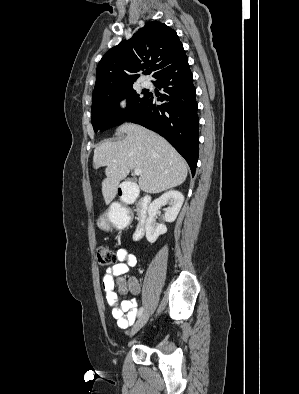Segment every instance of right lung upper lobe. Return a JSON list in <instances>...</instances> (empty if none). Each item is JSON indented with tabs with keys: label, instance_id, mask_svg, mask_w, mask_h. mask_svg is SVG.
I'll use <instances>...</instances> for the list:
<instances>
[{
	"label": "right lung upper lobe",
	"instance_id": "obj_1",
	"mask_svg": "<svg viewBox=\"0 0 299 394\" xmlns=\"http://www.w3.org/2000/svg\"><path fill=\"white\" fill-rule=\"evenodd\" d=\"M184 55L183 45L173 29L157 21L149 22L102 57L93 93L131 85L140 76L137 72L149 67L156 77Z\"/></svg>",
	"mask_w": 299,
	"mask_h": 394
}]
</instances>
